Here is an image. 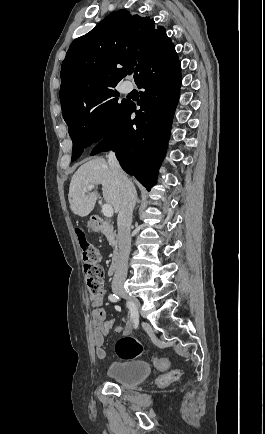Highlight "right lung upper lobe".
Returning <instances> with one entry per match:
<instances>
[{"label": "right lung upper lobe", "mask_w": 265, "mask_h": 434, "mask_svg": "<svg viewBox=\"0 0 265 434\" xmlns=\"http://www.w3.org/2000/svg\"><path fill=\"white\" fill-rule=\"evenodd\" d=\"M173 49L165 28L152 18L115 11L71 43L61 67L60 100L119 82L132 72L136 79L149 62Z\"/></svg>", "instance_id": "1"}]
</instances>
